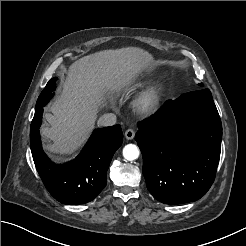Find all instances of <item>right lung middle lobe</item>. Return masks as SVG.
<instances>
[{"label": "right lung middle lobe", "mask_w": 246, "mask_h": 246, "mask_svg": "<svg viewBox=\"0 0 246 246\" xmlns=\"http://www.w3.org/2000/svg\"><path fill=\"white\" fill-rule=\"evenodd\" d=\"M56 80H57V78L54 77L47 83L46 87L41 92V94L37 100L36 108L37 107H44L49 102V100L52 98L53 91L56 89Z\"/></svg>", "instance_id": "right-lung-middle-lobe-1"}]
</instances>
